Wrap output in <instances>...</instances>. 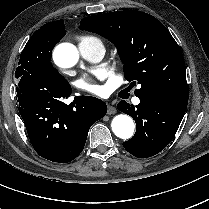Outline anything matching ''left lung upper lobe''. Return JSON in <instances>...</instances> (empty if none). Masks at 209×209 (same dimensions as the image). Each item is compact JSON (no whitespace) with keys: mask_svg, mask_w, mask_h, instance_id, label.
I'll use <instances>...</instances> for the list:
<instances>
[{"mask_svg":"<svg viewBox=\"0 0 209 209\" xmlns=\"http://www.w3.org/2000/svg\"><path fill=\"white\" fill-rule=\"evenodd\" d=\"M79 28L98 33L116 46L125 79L141 85L136 96L157 94L188 101L182 52L155 17L135 10L117 11L83 18Z\"/></svg>","mask_w":209,"mask_h":209,"instance_id":"left-lung-upper-lobe-1","label":"left lung upper lobe"}]
</instances>
